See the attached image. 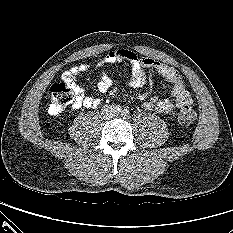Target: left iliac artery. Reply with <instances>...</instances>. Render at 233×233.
I'll return each instance as SVG.
<instances>
[{
    "instance_id": "obj_1",
    "label": "left iliac artery",
    "mask_w": 233,
    "mask_h": 233,
    "mask_svg": "<svg viewBox=\"0 0 233 233\" xmlns=\"http://www.w3.org/2000/svg\"><path fill=\"white\" fill-rule=\"evenodd\" d=\"M122 114H123L124 116H128V115L130 114V112H129V110L124 109L123 112H122Z\"/></svg>"
}]
</instances>
